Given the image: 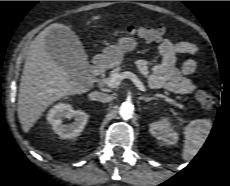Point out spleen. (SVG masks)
Segmentation results:
<instances>
[{
  "label": "spleen",
  "instance_id": "spleen-1",
  "mask_svg": "<svg viewBox=\"0 0 230 186\" xmlns=\"http://www.w3.org/2000/svg\"><path fill=\"white\" fill-rule=\"evenodd\" d=\"M212 127L209 119L191 121L184 128V147L182 157L184 160L193 158L203 146Z\"/></svg>",
  "mask_w": 230,
  "mask_h": 186
}]
</instances>
